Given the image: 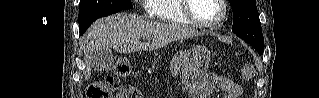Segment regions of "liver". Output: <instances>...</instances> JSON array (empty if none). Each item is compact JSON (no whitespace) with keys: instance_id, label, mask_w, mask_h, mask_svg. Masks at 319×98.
Instances as JSON below:
<instances>
[{"instance_id":"obj_1","label":"liver","mask_w":319,"mask_h":98,"mask_svg":"<svg viewBox=\"0 0 319 98\" xmlns=\"http://www.w3.org/2000/svg\"><path fill=\"white\" fill-rule=\"evenodd\" d=\"M198 31L180 25L156 23L136 15L119 13L94 22L82 37L86 69L85 80L91 76L92 55L99 49H114L120 53L155 50L167 44L198 36ZM141 38L151 39L142 43Z\"/></svg>"}]
</instances>
